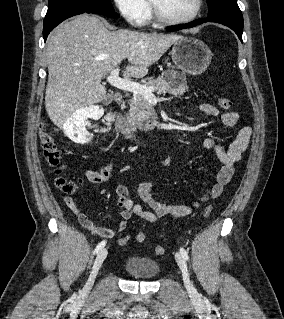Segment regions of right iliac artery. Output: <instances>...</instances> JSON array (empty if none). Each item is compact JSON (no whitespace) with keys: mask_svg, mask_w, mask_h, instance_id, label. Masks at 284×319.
<instances>
[{"mask_svg":"<svg viewBox=\"0 0 284 319\" xmlns=\"http://www.w3.org/2000/svg\"><path fill=\"white\" fill-rule=\"evenodd\" d=\"M105 245H106V241H105V240L101 241V242L96 246V248H95V250H94V254H95V253H98L100 250H102Z\"/></svg>","mask_w":284,"mask_h":319,"instance_id":"obj_1","label":"right iliac artery"}]
</instances>
